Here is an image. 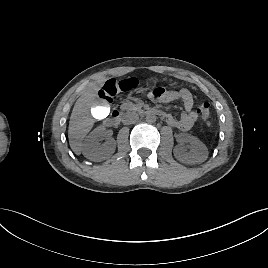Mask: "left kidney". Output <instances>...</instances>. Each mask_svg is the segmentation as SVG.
Wrapping results in <instances>:
<instances>
[{
	"instance_id": "1",
	"label": "left kidney",
	"mask_w": 268,
	"mask_h": 268,
	"mask_svg": "<svg viewBox=\"0 0 268 268\" xmlns=\"http://www.w3.org/2000/svg\"><path fill=\"white\" fill-rule=\"evenodd\" d=\"M178 142L179 144L173 150L174 156L178 161L186 164H198L207 159V147L195 136L181 133L178 136ZM185 144H189V151L185 149Z\"/></svg>"
}]
</instances>
